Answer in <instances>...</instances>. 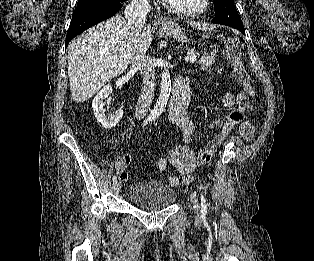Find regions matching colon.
I'll list each match as a JSON object with an SVG mask.
<instances>
[{
    "label": "colon",
    "instance_id": "1",
    "mask_svg": "<svg viewBox=\"0 0 314 261\" xmlns=\"http://www.w3.org/2000/svg\"><path fill=\"white\" fill-rule=\"evenodd\" d=\"M240 54V43L235 39H228L226 41V57L233 68V76L241 89L237 94L236 107L229 113L218 135L200 149L194 160L195 165H204L211 160L225 137L243 119L245 111L254 105L255 92L251 74L241 60Z\"/></svg>",
    "mask_w": 314,
    "mask_h": 261
}]
</instances>
